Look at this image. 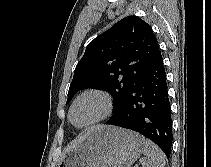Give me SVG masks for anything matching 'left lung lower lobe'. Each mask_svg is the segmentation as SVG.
Instances as JSON below:
<instances>
[{"label":"left lung lower lobe","mask_w":211,"mask_h":167,"mask_svg":"<svg viewBox=\"0 0 211 167\" xmlns=\"http://www.w3.org/2000/svg\"><path fill=\"white\" fill-rule=\"evenodd\" d=\"M106 124L139 132L157 144L170 158L173 139L171 107L160 51L126 95L119 113Z\"/></svg>","instance_id":"0a47b994"}]
</instances>
